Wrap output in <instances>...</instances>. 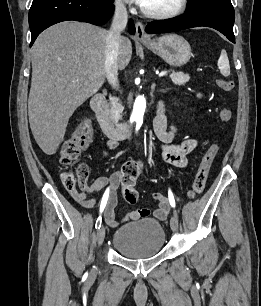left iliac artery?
<instances>
[{
	"mask_svg": "<svg viewBox=\"0 0 261 306\" xmlns=\"http://www.w3.org/2000/svg\"><path fill=\"white\" fill-rule=\"evenodd\" d=\"M168 197H169L170 205L174 208L175 207V199H174V196H173L171 190L168 191Z\"/></svg>",
	"mask_w": 261,
	"mask_h": 306,
	"instance_id": "left-iliac-artery-1",
	"label": "left iliac artery"
}]
</instances>
